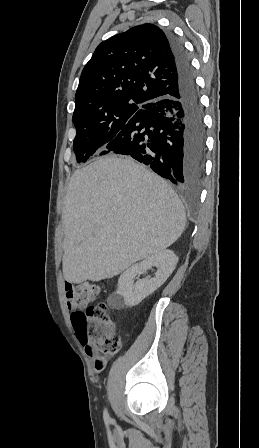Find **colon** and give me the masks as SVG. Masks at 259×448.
I'll return each mask as SVG.
<instances>
[{
  "instance_id": "1",
  "label": "colon",
  "mask_w": 259,
  "mask_h": 448,
  "mask_svg": "<svg viewBox=\"0 0 259 448\" xmlns=\"http://www.w3.org/2000/svg\"><path fill=\"white\" fill-rule=\"evenodd\" d=\"M100 293L98 285L82 282L73 288L76 306L85 308L71 316L77 337L82 345L92 344L100 352L116 354L121 348V339L115 331L109 316L108 306L104 303L91 306Z\"/></svg>"
}]
</instances>
